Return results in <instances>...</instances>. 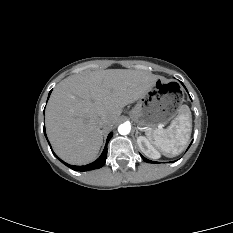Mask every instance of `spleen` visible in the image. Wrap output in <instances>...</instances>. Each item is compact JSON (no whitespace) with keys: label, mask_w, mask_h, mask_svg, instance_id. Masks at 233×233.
<instances>
[{"label":"spleen","mask_w":233,"mask_h":233,"mask_svg":"<svg viewBox=\"0 0 233 233\" xmlns=\"http://www.w3.org/2000/svg\"><path fill=\"white\" fill-rule=\"evenodd\" d=\"M192 131V117L187 105H182L178 115L167 129L158 128L147 132L149 141L163 155L174 157L179 155L188 143Z\"/></svg>","instance_id":"3e777b00"}]
</instances>
